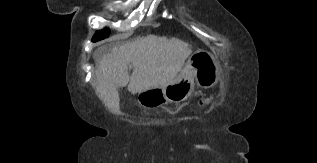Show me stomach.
Wrapping results in <instances>:
<instances>
[{"label": "stomach", "instance_id": "1", "mask_svg": "<svg viewBox=\"0 0 317 163\" xmlns=\"http://www.w3.org/2000/svg\"><path fill=\"white\" fill-rule=\"evenodd\" d=\"M220 72L216 58L207 51L199 50L189 58L172 82L138 93L137 101L147 109L181 103L191 96L195 83L205 89L213 87L220 78Z\"/></svg>", "mask_w": 317, "mask_h": 163}]
</instances>
